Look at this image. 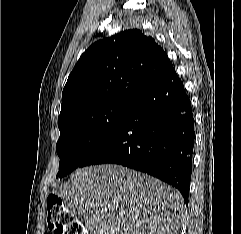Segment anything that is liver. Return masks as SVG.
<instances>
[{
  "label": "liver",
  "mask_w": 241,
  "mask_h": 234,
  "mask_svg": "<svg viewBox=\"0 0 241 234\" xmlns=\"http://www.w3.org/2000/svg\"><path fill=\"white\" fill-rule=\"evenodd\" d=\"M56 194L81 215L89 234H173L184 216L178 190L113 164L77 169Z\"/></svg>",
  "instance_id": "liver-1"
}]
</instances>
